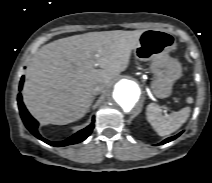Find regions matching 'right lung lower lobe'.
<instances>
[{
  "label": "right lung lower lobe",
  "mask_w": 212,
  "mask_h": 183,
  "mask_svg": "<svg viewBox=\"0 0 212 183\" xmlns=\"http://www.w3.org/2000/svg\"><path fill=\"white\" fill-rule=\"evenodd\" d=\"M23 81H24V77L21 78L20 84H19V89H22V85H23ZM18 105H19V110H20V115L21 118L25 124V126L27 127V129L38 139L44 141L45 143L52 145V146H67V145H71V144H76L79 142H82L83 140H85L90 133L92 132L94 125L93 123L91 125H89L88 127H86L83 130H80L79 132H77L76 134L72 135L71 137H69L68 139L64 140V141H60V142H52L49 141L47 139H44L38 132V122L29 114V112L27 111V109L25 108L23 102H22V96L21 94H18ZM93 122H94V118H93Z\"/></svg>",
  "instance_id": "obj_1"
}]
</instances>
